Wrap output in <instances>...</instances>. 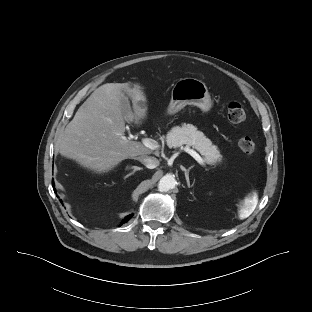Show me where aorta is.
I'll return each instance as SVG.
<instances>
[{
  "mask_svg": "<svg viewBox=\"0 0 312 312\" xmlns=\"http://www.w3.org/2000/svg\"><path fill=\"white\" fill-rule=\"evenodd\" d=\"M176 180L172 175L163 176L158 183V190L160 192H168L175 187Z\"/></svg>",
  "mask_w": 312,
  "mask_h": 312,
  "instance_id": "1",
  "label": "aorta"
}]
</instances>
